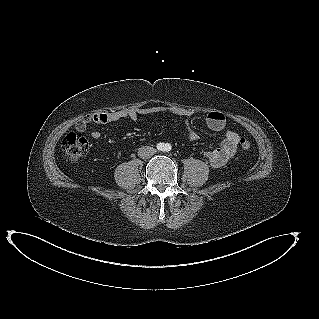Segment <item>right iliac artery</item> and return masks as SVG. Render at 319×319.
I'll list each match as a JSON object with an SVG mask.
<instances>
[{
  "label": "right iliac artery",
  "mask_w": 319,
  "mask_h": 319,
  "mask_svg": "<svg viewBox=\"0 0 319 319\" xmlns=\"http://www.w3.org/2000/svg\"><path fill=\"white\" fill-rule=\"evenodd\" d=\"M163 147H164V144H162V143H158V144H157V149H158V150H162Z\"/></svg>",
  "instance_id": "1"
}]
</instances>
